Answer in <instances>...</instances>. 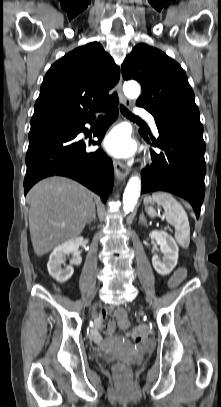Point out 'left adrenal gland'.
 <instances>
[{
  "instance_id": "obj_1",
  "label": "left adrenal gland",
  "mask_w": 221,
  "mask_h": 407,
  "mask_svg": "<svg viewBox=\"0 0 221 407\" xmlns=\"http://www.w3.org/2000/svg\"><path fill=\"white\" fill-rule=\"evenodd\" d=\"M139 223H140V224H144L145 226H147V220L145 219L143 213L140 214Z\"/></svg>"
}]
</instances>
